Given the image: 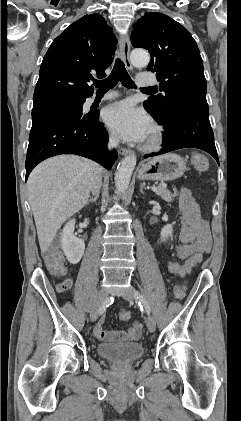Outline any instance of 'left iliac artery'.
Instances as JSON below:
<instances>
[{
    "label": "left iliac artery",
    "mask_w": 241,
    "mask_h": 421,
    "mask_svg": "<svg viewBox=\"0 0 241 421\" xmlns=\"http://www.w3.org/2000/svg\"><path fill=\"white\" fill-rule=\"evenodd\" d=\"M136 295H138V298L140 299V301L142 302V304L145 307V310L148 314H150V306L147 303L146 299L144 298V296L142 294H140L139 292H136Z\"/></svg>",
    "instance_id": "left-iliac-artery-1"
}]
</instances>
